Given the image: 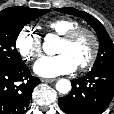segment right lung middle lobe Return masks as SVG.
I'll list each match as a JSON object with an SVG mask.
<instances>
[{"label": "right lung middle lobe", "mask_w": 114, "mask_h": 114, "mask_svg": "<svg viewBox=\"0 0 114 114\" xmlns=\"http://www.w3.org/2000/svg\"><path fill=\"white\" fill-rule=\"evenodd\" d=\"M50 10L30 8L21 12H0V69H13L24 64L16 47L17 37L24 25Z\"/></svg>", "instance_id": "1"}]
</instances>
